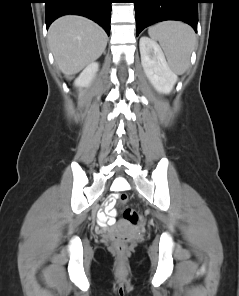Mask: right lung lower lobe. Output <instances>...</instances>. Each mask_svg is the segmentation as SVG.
Instances as JSON below:
<instances>
[{"label": "right lung lower lobe", "instance_id": "1", "mask_svg": "<svg viewBox=\"0 0 239 296\" xmlns=\"http://www.w3.org/2000/svg\"><path fill=\"white\" fill-rule=\"evenodd\" d=\"M46 3V26L58 17L77 14L88 17L110 34L112 0H44Z\"/></svg>", "mask_w": 239, "mask_h": 296}]
</instances>
